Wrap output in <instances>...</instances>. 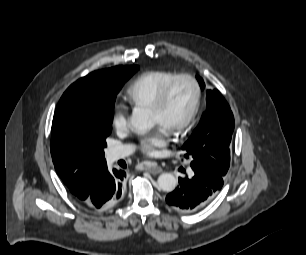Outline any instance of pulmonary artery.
<instances>
[{
  "label": "pulmonary artery",
  "mask_w": 306,
  "mask_h": 255,
  "mask_svg": "<svg viewBox=\"0 0 306 255\" xmlns=\"http://www.w3.org/2000/svg\"><path fill=\"white\" fill-rule=\"evenodd\" d=\"M132 149L128 146H120L109 150L108 157L110 161H116L128 156Z\"/></svg>",
  "instance_id": "obj_1"
}]
</instances>
